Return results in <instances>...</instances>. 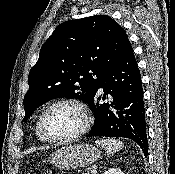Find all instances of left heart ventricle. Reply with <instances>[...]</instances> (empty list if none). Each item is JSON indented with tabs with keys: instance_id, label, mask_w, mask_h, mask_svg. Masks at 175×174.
Returning a JSON list of instances; mask_svg holds the SVG:
<instances>
[{
	"instance_id": "1",
	"label": "left heart ventricle",
	"mask_w": 175,
	"mask_h": 174,
	"mask_svg": "<svg viewBox=\"0 0 175 174\" xmlns=\"http://www.w3.org/2000/svg\"><path fill=\"white\" fill-rule=\"evenodd\" d=\"M82 125V117L77 109L69 105L53 108L45 118L47 133L55 138L67 137Z\"/></svg>"
}]
</instances>
